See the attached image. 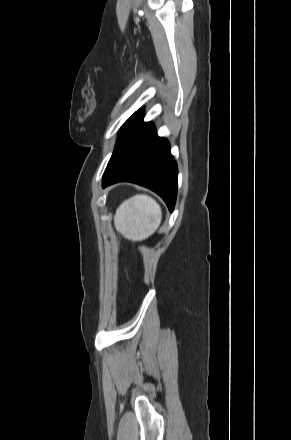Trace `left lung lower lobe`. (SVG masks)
<instances>
[{
  "instance_id": "left-lung-lower-lobe-1",
  "label": "left lung lower lobe",
  "mask_w": 291,
  "mask_h": 440,
  "mask_svg": "<svg viewBox=\"0 0 291 440\" xmlns=\"http://www.w3.org/2000/svg\"><path fill=\"white\" fill-rule=\"evenodd\" d=\"M177 164L170 145L158 137L153 123L143 122V113L119 135L103 175L102 186L128 181L159 194L172 212L177 195Z\"/></svg>"
}]
</instances>
